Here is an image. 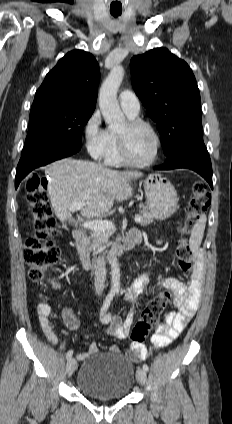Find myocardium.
Here are the masks:
<instances>
[{
    "label": "myocardium",
    "mask_w": 232,
    "mask_h": 424,
    "mask_svg": "<svg viewBox=\"0 0 232 424\" xmlns=\"http://www.w3.org/2000/svg\"><path fill=\"white\" fill-rule=\"evenodd\" d=\"M127 125L129 129H135L138 127H144L148 129L154 136L155 150L153 155L149 159L145 161H136L132 159L128 153L125 134L117 132L116 138H117V143L119 148V154L123 163L130 166H134V167H146V166L152 165L157 160L161 150V138L158 131L149 122L141 120V119H136V118H130L127 121Z\"/></svg>",
    "instance_id": "myocardium-1"
}]
</instances>
